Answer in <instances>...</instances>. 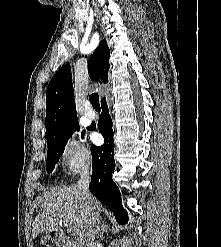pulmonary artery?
<instances>
[{
  "mask_svg": "<svg viewBox=\"0 0 221 247\" xmlns=\"http://www.w3.org/2000/svg\"><path fill=\"white\" fill-rule=\"evenodd\" d=\"M84 114H85L86 118H88L90 120H93L96 117L95 111L90 106L86 107Z\"/></svg>",
  "mask_w": 221,
  "mask_h": 247,
  "instance_id": "1",
  "label": "pulmonary artery"
}]
</instances>
